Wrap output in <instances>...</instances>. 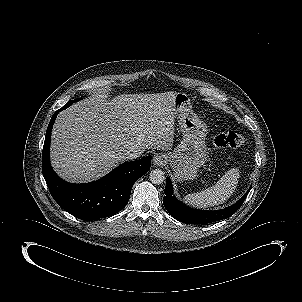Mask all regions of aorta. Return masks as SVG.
<instances>
[{"mask_svg":"<svg viewBox=\"0 0 302 302\" xmlns=\"http://www.w3.org/2000/svg\"><path fill=\"white\" fill-rule=\"evenodd\" d=\"M149 179L153 184L160 185L165 180V174L160 169H154L150 172Z\"/></svg>","mask_w":302,"mask_h":302,"instance_id":"aorta-1","label":"aorta"}]
</instances>
